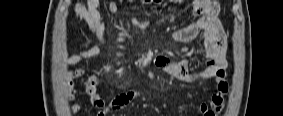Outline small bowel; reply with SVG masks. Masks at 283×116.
<instances>
[{"mask_svg": "<svg viewBox=\"0 0 283 116\" xmlns=\"http://www.w3.org/2000/svg\"><path fill=\"white\" fill-rule=\"evenodd\" d=\"M99 4V0H88L86 5L75 4L74 10L76 14L86 23L88 29L95 37L96 43L87 50L77 51L68 56L65 59L67 66H75L84 61L105 57V53L101 47L104 43V25L101 21ZM107 10L110 14H117L121 8L117 2L108 1ZM192 13L197 20L191 25L175 31L173 38L178 41H191L198 36L202 38V69L194 74H190L188 60L173 62L166 57H157L154 62L177 81L193 82L214 79L217 83V92L211 97L210 104L202 103L200 105L199 111L203 116H215L222 109L225 95L228 91V83L225 75L227 67V38L219 19V7L215 1L195 0L193 2ZM150 62L151 57L146 56L139 63L145 66ZM86 72V67H79L73 71L72 76L74 78H80L81 83L78 87L73 80L69 82L71 97L85 95L94 107L101 109L98 113L99 116L105 115L106 112L122 110L138 99H157L159 97L151 91H134L121 94L106 105L100 97L94 82L83 79ZM81 109V105L74 104L69 108V111L70 114H75Z\"/></svg>", "mask_w": 283, "mask_h": 116, "instance_id": "c3829d8e", "label": "small bowel"}]
</instances>
